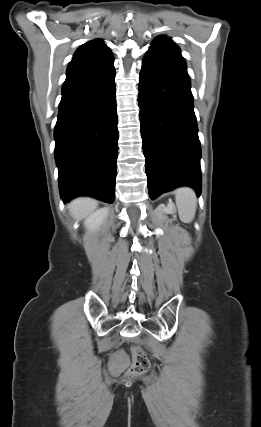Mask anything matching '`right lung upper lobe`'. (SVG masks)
Returning a JSON list of instances; mask_svg holds the SVG:
<instances>
[{"label":"right lung upper lobe","instance_id":"1","mask_svg":"<svg viewBox=\"0 0 261 427\" xmlns=\"http://www.w3.org/2000/svg\"><path fill=\"white\" fill-rule=\"evenodd\" d=\"M113 60L110 49L101 41L83 44L68 66L63 87L107 71L113 67Z\"/></svg>","mask_w":261,"mask_h":427}]
</instances>
